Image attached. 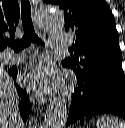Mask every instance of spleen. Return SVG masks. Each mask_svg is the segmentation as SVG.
Returning <instances> with one entry per match:
<instances>
[{
	"instance_id": "3e777b00",
	"label": "spleen",
	"mask_w": 125,
	"mask_h": 128,
	"mask_svg": "<svg viewBox=\"0 0 125 128\" xmlns=\"http://www.w3.org/2000/svg\"><path fill=\"white\" fill-rule=\"evenodd\" d=\"M97 128H125V121L116 117L102 115L97 120Z\"/></svg>"
}]
</instances>
